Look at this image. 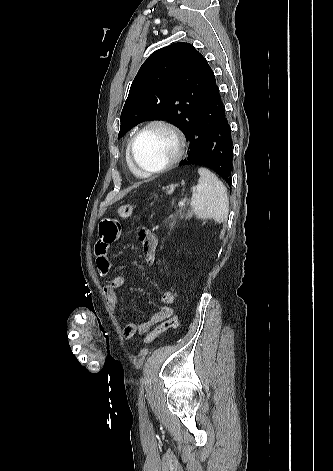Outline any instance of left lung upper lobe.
Masks as SVG:
<instances>
[{"mask_svg": "<svg viewBox=\"0 0 333 471\" xmlns=\"http://www.w3.org/2000/svg\"><path fill=\"white\" fill-rule=\"evenodd\" d=\"M215 75L189 43L152 53L139 69L121 113L118 139L150 119H166L190 134Z\"/></svg>", "mask_w": 333, "mask_h": 471, "instance_id": "obj_1", "label": "left lung upper lobe"}]
</instances>
